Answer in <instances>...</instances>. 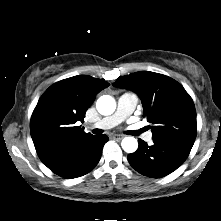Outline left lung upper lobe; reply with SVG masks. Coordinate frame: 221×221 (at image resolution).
I'll use <instances>...</instances> for the list:
<instances>
[{"mask_svg": "<svg viewBox=\"0 0 221 221\" xmlns=\"http://www.w3.org/2000/svg\"><path fill=\"white\" fill-rule=\"evenodd\" d=\"M113 86L130 89L139 95L143 116L153 124V139L193 146L197 134L195 106L177 81L159 73L141 71L119 77Z\"/></svg>", "mask_w": 221, "mask_h": 221, "instance_id": "5c2ea615", "label": "left lung upper lobe"}]
</instances>
